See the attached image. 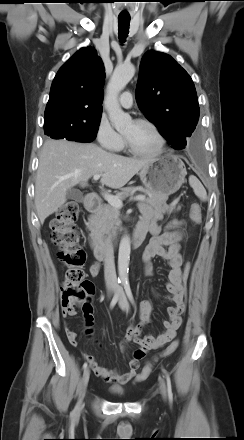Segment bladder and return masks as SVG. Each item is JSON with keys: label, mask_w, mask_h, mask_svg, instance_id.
I'll use <instances>...</instances> for the list:
<instances>
[{"label": "bladder", "mask_w": 244, "mask_h": 440, "mask_svg": "<svg viewBox=\"0 0 244 440\" xmlns=\"http://www.w3.org/2000/svg\"><path fill=\"white\" fill-rule=\"evenodd\" d=\"M109 392L111 395L116 396V397H121L124 394V392L122 390H110Z\"/></svg>", "instance_id": "31cf9c89"}]
</instances>
